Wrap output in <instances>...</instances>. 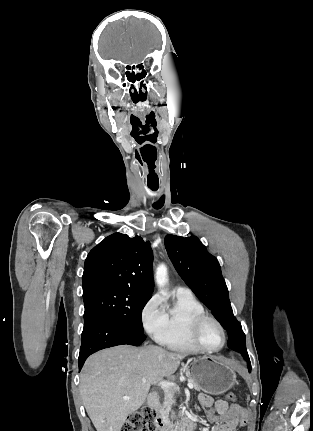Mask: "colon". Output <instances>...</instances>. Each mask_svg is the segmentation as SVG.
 Returning a JSON list of instances; mask_svg holds the SVG:
<instances>
[{
    "mask_svg": "<svg viewBox=\"0 0 313 431\" xmlns=\"http://www.w3.org/2000/svg\"><path fill=\"white\" fill-rule=\"evenodd\" d=\"M226 398L233 401L235 400V394L228 392ZM156 417L155 410L145 406L128 417L123 423L121 431H157L155 424Z\"/></svg>",
    "mask_w": 313,
    "mask_h": 431,
    "instance_id": "colon-1",
    "label": "colon"
}]
</instances>
